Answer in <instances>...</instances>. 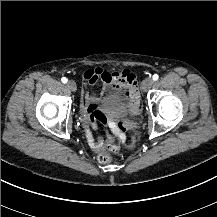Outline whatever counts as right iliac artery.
<instances>
[{"label": "right iliac artery", "instance_id": "82829eb1", "mask_svg": "<svg viewBox=\"0 0 217 217\" xmlns=\"http://www.w3.org/2000/svg\"><path fill=\"white\" fill-rule=\"evenodd\" d=\"M61 81L63 82V83H67V78L66 77H63L62 79H61Z\"/></svg>", "mask_w": 217, "mask_h": 217}]
</instances>
